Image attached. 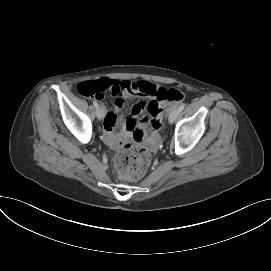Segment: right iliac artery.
I'll use <instances>...</instances> for the list:
<instances>
[{
	"instance_id": "right-iliac-artery-1",
	"label": "right iliac artery",
	"mask_w": 271,
	"mask_h": 271,
	"mask_svg": "<svg viewBox=\"0 0 271 271\" xmlns=\"http://www.w3.org/2000/svg\"><path fill=\"white\" fill-rule=\"evenodd\" d=\"M93 105L97 108L98 107V103L96 101L93 102Z\"/></svg>"
}]
</instances>
